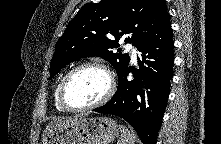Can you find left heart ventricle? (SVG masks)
I'll use <instances>...</instances> for the list:
<instances>
[{"label": "left heart ventricle", "instance_id": "left-heart-ventricle-1", "mask_svg": "<svg viewBox=\"0 0 221 144\" xmlns=\"http://www.w3.org/2000/svg\"><path fill=\"white\" fill-rule=\"evenodd\" d=\"M107 88L108 79L104 72L97 68H84L70 79L65 96L72 106H86L98 101Z\"/></svg>", "mask_w": 221, "mask_h": 144}]
</instances>
